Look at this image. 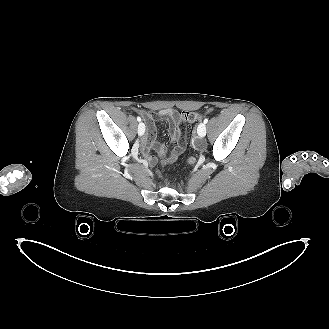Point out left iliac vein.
Wrapping results in <instances>:
<instances>
[{
  "label": "left iliac vein",
  "instance_id": "4c4485c4",
  "mask_svg": "<svg viewBox=\"0 0 329 329\" xmlns=\"http://www.w3.org/2000/svg\"><path fill=\"white\" fill-rule=\"evenodd\" d=\"M197 133L200 138L205 137L206 135V125L205 123H200L197 128Z\"/></svg>",
  "mask_w": 329,
  "mask_h": 329
}]
</instances>
